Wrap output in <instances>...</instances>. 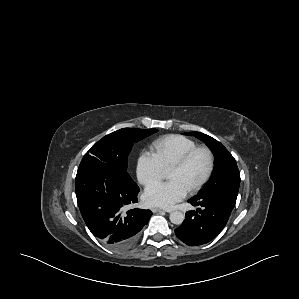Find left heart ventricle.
Instances as JSON below:
<instances>
[{
	"instance_id": "1",
	"label": "left heart ventricle",
	"mask_w": 299,
	"mask_h": 299,
	"mask_svg": "<svg viewBox=\"0 0 299 299\" xmlns=\"http://www.w3.org/2000/svg\"><path fill=\"white\" fill-rule=\"evenodd\" d=\"M208 168V156L204 151L197 152L188 164L180 169L168 172V179L178 181L186 190L195 186L205 175Z\"/></svg>"
}]
</instances>
